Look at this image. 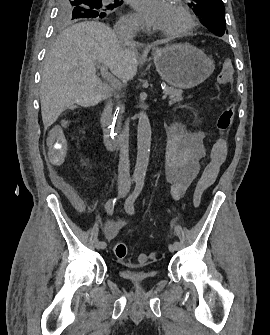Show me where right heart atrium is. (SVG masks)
Listing matches in <instances>:
<instances>
[{
    "instance_id": "obj_1",
    "label": "right heart atrium",
    "mask_w": 270,
    "mask_h": 335,
    "mask_svg": "<svg viewBox=\"0 0 270 335\" xmlns=\"http://www.w3.org/2000/svg\"><path fill=\"white\" fill-rule=\"evenodd\" d=\"M117 25H138L139 31L141 30V27H142L140 19L135 13L126 14L119 20Z\"/></svg>"
}]
</instances>
